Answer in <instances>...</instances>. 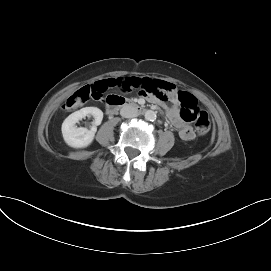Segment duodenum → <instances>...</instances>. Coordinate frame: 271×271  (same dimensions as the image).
<instances>
[{"mask_svg": "<svg viewBox=\"0 0 271 271\" xmlns=\"http://www.w3.org/2000/svg\"><path fill=\"white\" fill-rule=\"evenodd\" d=\"M122 107H131L139 113L143 112L144 110L142 106L131 100L123 97L113 96L107 101L106 111L109 115H113Z\"/></svg>", "mask_w": 271, "mask_h": 271, "instance_id": "1", "label": "duodenum"}]
</instances>
